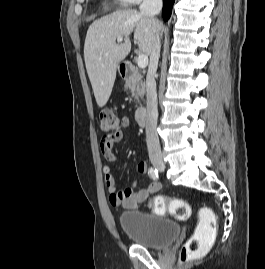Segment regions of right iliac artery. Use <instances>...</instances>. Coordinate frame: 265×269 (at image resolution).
I'll return each mask as SVG.
<instances>
[{"mask_svg":"<svg viewBox=\"0 0 265 269\" xmlns=\"http://www.w3.org/2000/svg\"><path fill=\"white\" fill-rule=\"evenodd\" d=\"M148 174L149 176L154 179V180H157L159 178V175H158V170L153 168V167H150L149 170H148Z\"/></svg>","mask_w":265,"mask_h":269,"instance_id":"82829eb1","label":"right iliac artery"}]
</instances>
